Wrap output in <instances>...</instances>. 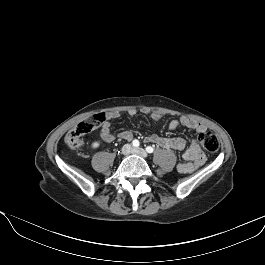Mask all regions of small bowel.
<instances>
[{"label": "small bowel", "instance_id": "c3829d8e", "mask_svg": "<svg viewBox=\"0 0 265 265\" xmlns=\"http://www.w3.org/2000/svg\"><path fill=\"white\" fill-rule=\"evenodd\" d=\"M143 114H146L153 121H159L161 115L157 112L150 111L147 108L141 110ZM137 114L135 109H130L128 115L134 117ZM120 116L118 112H110L106 115L107 119H116ZM179 127H185L193 129L197 133H202L206 130V126L197 120L189 117H181L179 120H173L169 123V129L175 130ZM101 137L106 142H112L115 136L111 132V126L108 121L104 122L101 127ZM118 139L130 141L133 139V133L130 131H122L117 134ZM146 140L159 147L171 150L182 151V157L184 162L178 163L177 170L181 173H191L200 167L205 161V153L202 151L197 138H192L189 145H186V141L181 137H164L157 134H151L146 137Z\"/></svg>", "mask_w": 265, "mask_h": 265}]
</instances>
